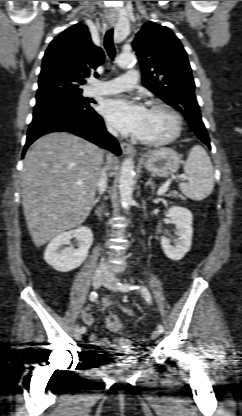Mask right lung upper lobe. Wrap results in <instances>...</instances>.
I'll list each match as a JSON object with an SVG mask.
<instances>
[{
  "label": "right lung upper lobe",
  "instance_id": "1",
  "mask_svg": "<svg viewBox=\"0 0 242 416\" xmlns=\"http://www.w3.org/2000/svg\"><path fill=\"white\" fill-rule=\"evenodd\" d=\"M104 57L102 49L92 43L88 28L73 25L55 37L46 50L37 96L60 88H79L85 83L83 79L103 63Z\"/></svg>",
  "mask_w": 242,
  "mask_h": 416
}]
</instances>
